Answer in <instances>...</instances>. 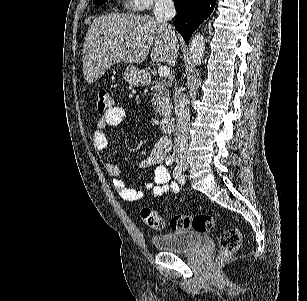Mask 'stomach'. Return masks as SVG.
Instances as JSON below:
<instances>
[{
	"instance_id": "1",
	"label": "stomach",
	"mask_w": 307,
	"mask_h": 301,
	"mask_svg": "<svg viewBox=\"0 0 307 301\" xmlns=\"http://www.w3.org/2000/svg\"><path fill=\"white\" fill-rule=\"evenodd\" d=\"M125 80L128 84H131V86H142L145 82V74L136 64H127Z\"/></svg>"
}]
</instances>
